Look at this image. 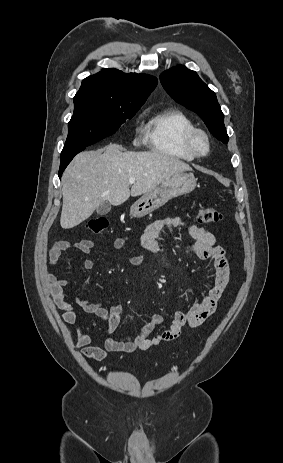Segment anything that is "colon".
<instances>
[{"label": "colon", "mask_w": 283, "mask_h": 463, "mask_svg": "<svg viewBox=\"0 0 283 463\" xmlns=\"http://www.w3.org/2000/svg\"><path fill=\"white\" fill-rule=\"evenodd\" d=\"M198 221L204 224L219 223L223 219L222 213L211 207H201L198 212ZM108 226V221L104 217L91 218L86 223L88 231L99 234L103 232Z\"/></svg>", "instance_id": "obj_1"}]
</instances>
